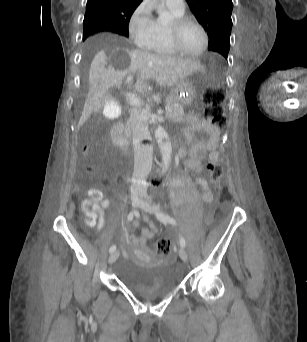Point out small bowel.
I'll list each match as a JSON object with an SVG mask.
<instances>
[{
    "mask_svg": "<svg viewBox=\"0 0 307 342\" xmlns=\"http://www.w3.org/2000/svg\"><path fill=\"white\" fill-rule=\"evenodd\" d=\"M206 134L207 138L195 142L189 149L183 148L181 150L182 156H187L185 159V166L191 170L199 172L201 170V161L208 155L210 161H219L220 156L217 152V146L220 140V130L214 127L208 120L195 119L186 133L187 144L194 142L197 133ZM197 184L201 187L203 192V200L206 203L211 202L212 194L208 182L202 178L197 177ZM109 206V201L103 198L101 191L98 189H90L87 192V197L81 203V210L86 216V224L91 227H96L101 230L105 223L104 210ZM148 227L141 229L139 237L129 235L128 232L138 227V221L135 220L132 224L127 226L126 231L121 236L123 254L127 255L128 247L125 240H129V248L136 250H144L149 240L153 239L158 233L156 224L148 221Z\"/></svg>",
    "mask_w": 307,
    "mask_h": 342,
    "instance_id": "obj_1",
    "label": "small bowel"
}]
</instances>
